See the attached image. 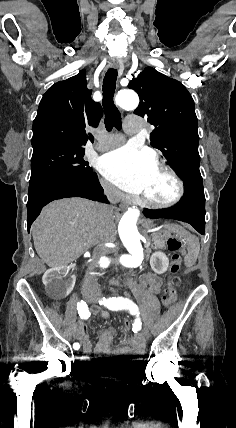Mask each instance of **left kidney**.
I'll use <instances>...</instances> for the list:
<instances>
[{"label": "left kidney", "instance_id": "obj_1", "mask_svg": "<svg viewBox=\"0 0 236 428\" xmlns=\"http://www.w3.org/2000/svg\"><path fill=\"white\" fill-rule=\"evenodd\" d=\"M150 266L155 274H164L169 268V260L163 252H154L150 258Z\"/></svg>", "mask_w": 236, "mask_h": 428}]
</instances>
